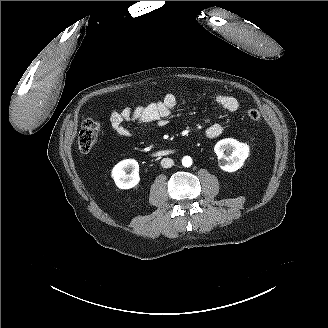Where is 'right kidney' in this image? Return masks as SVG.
<instances>
[{"instance_id":"1","label":"right kidney","mask_w":328,"mask_h":328,"mask_svg":"<svg viewBox=\"0 0 328 328\" xmlns=\"http://www.w3.org/2000/svg\"><path fill=\"white\" fill-rule=\"evenodd\" d=\"M131 170L130 174L126 172ZM112 177L117 185L121 189H129L136 186L139 183V165L134 159H126L118 164L112 170Z\"/></svg>"}]
</instances>
